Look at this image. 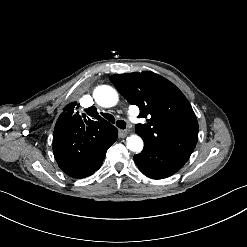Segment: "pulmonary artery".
<instances>
[{
	"mask_svg": "<svg viewBox=\"0 0 247 247\" xmlns=\"http://www.w3.org/2000/svg\"><path fill=\"white\" fill-rule=\"evenodd\" d=\"M130 123L134 126H140L141 125V120L136 118V117H131L130 118Z\"/></svg>",
	"mask_w": 247,
	"mask_h": 247,
	"instance_id": "e3ab8cb5",
	"label": "pulmonary artery"
}]
</instances>
